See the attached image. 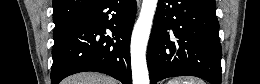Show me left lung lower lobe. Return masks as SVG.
Here are the masks:
<instances>
[{"mask_svg":"<svg viewBox=\"0 0 260 84\" xmlns=\"http://www.w3.org/2000/svg\"><path fill=\"white\" fill-rule=\"evenodd\" d=\"M215 0H159L149 40L151 84L190 75L221 84V45Z\"/></svg>","mask_w":260,"mask_h":84,"instance_id":"left-lung-lower-lobe-1","label":"left lung lower lobe"}]
</instances>
